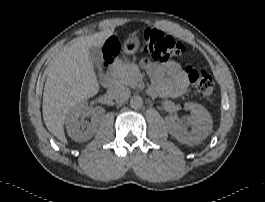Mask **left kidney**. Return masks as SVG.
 Segmentation results:
<instances>
[{
  "label": "left kidney",
  "instance_id": "obj_1",
  "mask_svg": "<svg viewBox=\"0 0 265 202\" xmlns=\"http://www.w3.org/2000/svg\"><path fill=\"white\" fill-rule=\"evenodd\" d=\"M185 109L192 112L189 118L192 129L188 131L176 122L174 118L168 116L165 120L169 133L182 144H199L211 132L212 118L207 109L200 104L189 102L185 104Z\"/></svg>",
  "mask_w": 265,
  "mask_h": 202
}]
</instances>
